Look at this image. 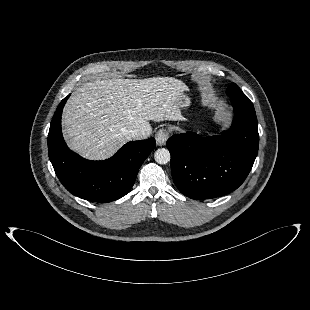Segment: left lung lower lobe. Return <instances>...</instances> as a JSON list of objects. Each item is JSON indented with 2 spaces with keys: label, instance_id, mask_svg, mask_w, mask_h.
Segmentation results:
<instances>
[{
  "label": "left lung lower lobe",
  "instance_id": "0a47b994",
  "mask_svg": "<svg viewBox=\"0 0 310 310\" xmlns=\"http://www.w3.org/2000/svg\"><path fill=\"white\" fill-rule=\"evenodd\" d=\"M234 119L218 136L194 132L173 135L166 145L171 172L179 191L192 199H210L237 189L255 161L259 134L254 106L249 98L231 97Z\"/></svg>",
  "mask_w": 310,
  "mask_h": 310
}]
</instances>
